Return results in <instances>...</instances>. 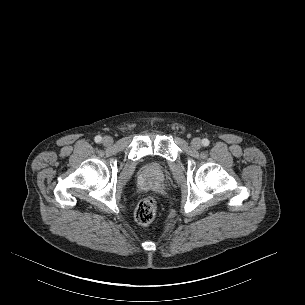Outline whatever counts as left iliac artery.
<instances>
[{
	"label": "left iliac artery",
	"instance_id": "left-iliac-artery-1",
	"mask_svg": "<svg viewBox=\"0 0 305 305\" xmlns=\"http://www.w3.org/2000/svg\"><path fill=\"white\" fill-rule=\"evenodd\" d=\"M209 143H210V142H209V140H208L207 138H205V139L202 140L203 146H208Z\"/></svg>",
	"mask_w": 305,
	"mask_h": 305
}]
</instances>
